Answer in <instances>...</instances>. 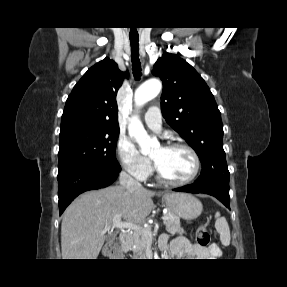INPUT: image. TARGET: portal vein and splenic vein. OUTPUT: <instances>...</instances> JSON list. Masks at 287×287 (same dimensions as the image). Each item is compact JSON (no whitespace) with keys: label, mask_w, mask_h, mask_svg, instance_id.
<instances>
[{"label":"portal vein and splenic vein","mask_w":287,"mask_h":287,"mask_svg":"<svg viewBox=\"0 0 287 287\" xmlns=\"http://www.w3.org/2000/svg\"><path fill=\"white\" fill-rule=\"evenodd\" d=\"M166 219H167V216L163 215L162 216V220H166ZM110 227H112V228H119V229H131V230H134V231H141L144 234L149 235V236H151V234H152L151 229L148 230L146 227H143V226L131 223V222H123L121 220L120 216H115L113 218L112 225L111 226H106V230H109Z\"/></svg>","instance_id":"obj_1"}]
</instances>
